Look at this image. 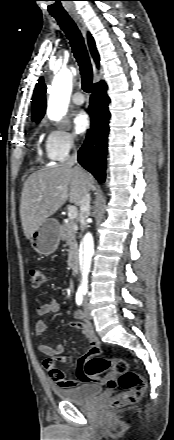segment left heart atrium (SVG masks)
Returning <instances> with one entry per match:
<instances>
[{
    "mask_svg": "<svg viewBox=\"0 0 174 440\" xmlns=\"http://www.w3.org/2000/svg\"><path fill=\"white\" fill-rule=\"evenodd\" d=\"M90 124L89 115L85 111H79L75 114L73 119L74 129L77 133H84Z\"/></svg>",
    "mask_w": 174,
    "mask_h": 440,
    "instance_id": "39dd6f15",
    "label": "left heart atrium"
}]
</instances>
